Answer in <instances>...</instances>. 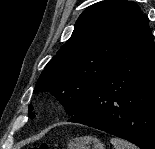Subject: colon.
<instances>
[{"instance_id": "colon-1", "label": "colon", "mask_w": 155, "mask_h": 149, "mask_svg": "<svg viewBox=\"0 0 155 149\" xmlns=\"http://www.w3.org/2000/svg\"><path fill=\"white\" fill-rule=\"evenodd\" d=\"M49 145L47 143H40L37 145H34L31 149H49Z\"/></svg>"}]
</instances>
